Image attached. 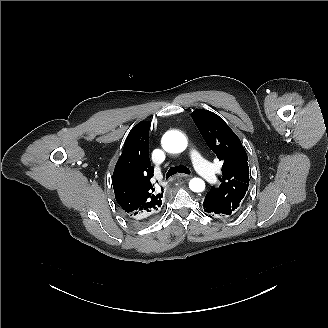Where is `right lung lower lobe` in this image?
Masks as SVG:
<instances>
[{"label":"right lung lower lobe","mask_w":328,"mask_h":328,"mask_svg":"<svg viewBox=\"0 0 328 328\" xmlns=\"http://www.w3.org/2000/svg\"><path fill=\"white\" fill-rule=\"evenodd\" d=\"M126 217H127L128 219L132 220V221H135V219H133V218L127 216V215H126Z\"/></svg>","instance_id":"obj_1"}]
</instances>
